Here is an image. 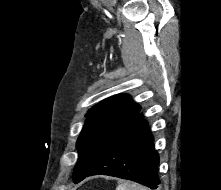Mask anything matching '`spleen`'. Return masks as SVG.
I'll return each instance as SVG.
<instances>
[{
  "mask_svg": "<svg viewBox=\"0 0 221 190\" xmlns=\"http://www.w3.org/2000/svg\"><path fill=\"white\" fill-rule=\"evenodd\" d=\"M116 190H149L135 183L124 182L117 186Z\"/></svg>",
  "mask_w": 221,
  "mask_h": 190,
  "instance_id": "1",
  "label": "spleen"
}]
</instances>
